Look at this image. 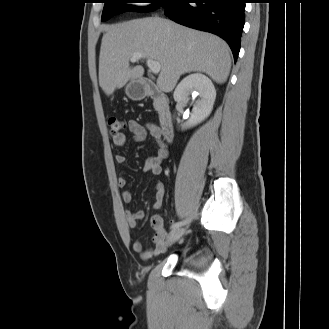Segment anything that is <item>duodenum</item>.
Returning a JSON list of instances; mask_svg holds the SVG:
<instances>
[{
	"instance_id": "obj_1",
	"label": "duodenum",
	"mask_w": 329,
	"mask_h": 329,
	"mask_svg": "<svg viewBox=\"0 0 329 329\" xmlns=\"http://www.w3.org/2000/svg\"><path fill=\"white\" fill-rule=\"evenodd\" d=\"M142 89L146 96H149L155 101V108L160 122L161 134L170 141L173 138L172 113L169 107L168 98L159 90L154 82L150 79H145L142 83Z\"/></svg>"
}]
</instances>
